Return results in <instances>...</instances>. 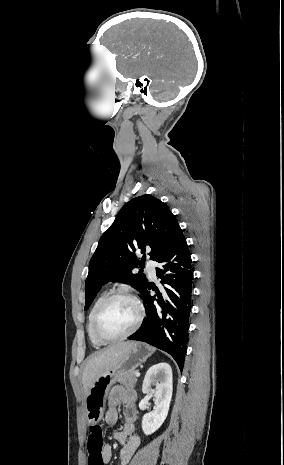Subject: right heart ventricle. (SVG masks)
<instances>
[{"label":"right heart ventricle","mask_w":284,"mask_h":465,"mask_svg":"<svg viewBox=\"0 0 284 465\" xmlns=\"http://www.w3.org/2000/svg\"><path fill=\"white\" fill-rule=\"evenodd\" d=\"M109 296V294L107 292H103L101 294H99L96 299L94 300L89 312H88V316H87V320H86V332H87V336H88V339H89V342L91 343L92 346H101V344H99L93 337L92 335V331H91V325H92V319H93V316H94V313L95 311L97 310V308L99 307V305Z\"/></svg>","instance_id":"obj_1"}]
</instances>
